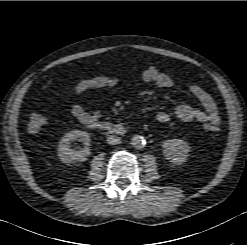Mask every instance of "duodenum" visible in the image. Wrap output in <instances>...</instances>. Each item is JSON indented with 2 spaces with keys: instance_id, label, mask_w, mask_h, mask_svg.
I'll list each match as a JSON object with an SVG mask.
<instances>
[{
  "instance_id": "1",
  "label": "duodenum",
  "mask_w": 247,
  "mask_h": 245,
  "mask_svg": "<svg viewBox=\"0 0 247 245\" xmlns=\"http://www.w3.org/2000/svg\"><path fill=\"white\" fill-rule=\"evenodd\" d=\"M92 127L95 130L109 132V133L116 134V135H122L124 133L123 126H121V125H113V124L107 123V122L94 123L92 125Z\"/></svg>"
}]
</instances>
